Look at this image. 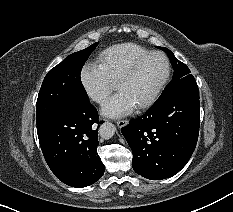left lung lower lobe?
I'll use <instances>...</instances> for the list:
<instances>
[{
  "instance_id": "0a47b994",
  "label": "left lung lower lobe",
  "mask_w": 233,
  "mask_h": 212,
  "mask_svg": "<svg viewBox=\"0 0 233 212\" xmlns=\"http://www.w3.org/2000/svg\"><path fill=\"white\" fill-rule=\"evenodd\" d=\"M199 123L198 88L159 97L144 115L122 128L133 152L134 171L151 180L174 176L196 147Z\"/></svg>"
}]
</instances>
